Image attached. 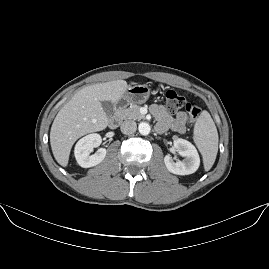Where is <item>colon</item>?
<instances>
[{"label": "colon", "instance_id": "5ec220e1", "mask_svg": "<svg viewBox=\"0 0 269 269\" xmlns=\"http://www.w3.org/2000/svg\"><path fill=\"white\" fill-rule=\"evenodd\" d=\"M164 105L170 113H177L181 109H185L192 122H195L201 114L199 105L187 102L181 94L174 91H167L164 96Z\"/></svg>", "mask_w": 269, "mask_h": 269}]
</instances>
